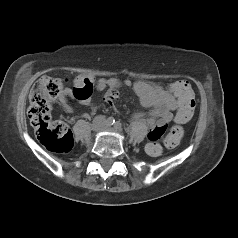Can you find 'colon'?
Masks as SVG:
<instances>
[{
	"label": "colon",
	"mask_w": 238,
	"mask_h": 238,
	"mask_svg": "<svg viewBox=\"0 0 238 238\" xmlns=\"http://www.w3.org/2000/svg\"><path fill=\"white\" fill-rule=\"evenodd\" d=\"M63 81L61 79L44 76L33 86L29 100L28 117L35 128L41 141L46 143L52 150L65 152L71 146V135L63 122L53 121L51 116L52 102L63 93ZM179 102L177 104L174 119L182 124L191 119L195 109V97L191 86L186 81H180L177 88ZM75 97L79 95L77 91ZM166 132L164 125H157L148 134L150 143L146 151L151 156H158L161 153V146L156 142ZM183 136V129L180 126H173L167 134L164 144L166 147L177 146Z\"/></svg>",
	"instance_id": "colon-1"
}]
</instances>
